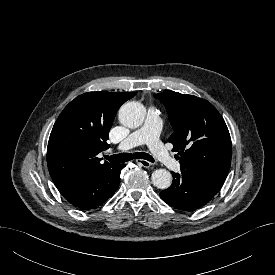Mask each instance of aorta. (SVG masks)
I'll return each instance as SVG.
<instances>
[{"mask_svg":"<svg viewBox=\"0 0 275 275\" xmlns=\"http://www.w3.org/2000/svg\"><path fill=\"white\" fill-rule=\"evenodd\" d=\"M144 118L145 107L140 102H127L119 110V120L128 128L139 127ZM151 180L158 189H167L171 185L172 175L166 169H157L152 173Z\"/></svg>","mask_w":275,"mask_h":275,"instance_id":"aorta-1","label":"aorta"}]
</instances>
